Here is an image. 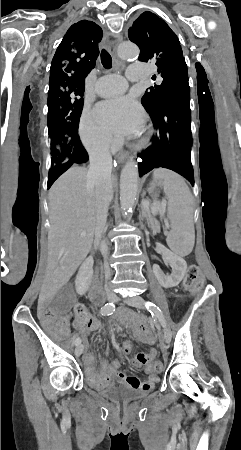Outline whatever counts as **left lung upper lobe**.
I'll use <instances>...</instances> for the list:
<instances>
[{
    "label": "left lung upper lobe",
    "mask_w": 241,
    "mask_h": 450,
    "mask_svg": "<svg viewBox=\"0 0 241 450\" xmlns=\"http://www.w3.org/2000/svg\"><path fill=\"white\" fill-rule=\"evenodd\" d=\"M129 39L140 48L139 60L154 62L163 78L160 85L146 91L141 99L149 113L162 110L179 98L189 97L188 72L179 40L170 27L154 13H142L128 31Z\"/></svg>",
    "instance_id": "5c2ea615"
}]
</instances>
